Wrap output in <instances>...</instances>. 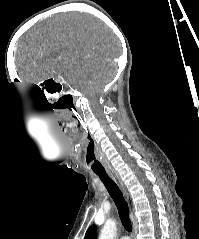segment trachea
I'll list each match as a JSON object with an SVG mask.
<instances>
[{
    "label": "trachea",
    "instance_id": "obj_1",
    "mask_svg": "<svg viewBox=\"0 0 199 239\" xmlns=\"http://www.w3.org/2000/svg\"><path fill=\"white\" fill-rule=\"evenodd\" d=\"M100 180L104 183L107 191L115 202L118 213L124 228L128 231H132V225L129 218V209L128 205L123 197L122 192L120 191L117 184L108 176L107 173H96Z\"/></svg>",
    "mask_w": 199,
    "mask_h": 239
}]
</instances>
